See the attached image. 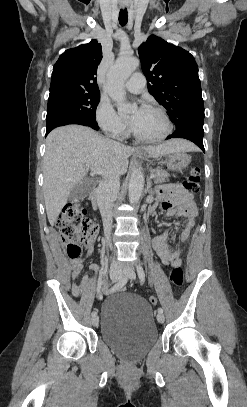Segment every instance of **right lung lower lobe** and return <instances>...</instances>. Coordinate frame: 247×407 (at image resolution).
<instances>
[{"instance_id": "98d812e1", "label": "right lung lower lobe", "mask_w": 247, "mask_h": 407, "mask_svg": "<svg viewBox=\"0 0 247 407\" xmlns=\"http://www.w3.org/2000/svg\"><path fill=\"white\" fill-rule=\"evenodd\" d=\"M67 124H80V125L89 126L95 130L99 129V127L97 126V123H91V122H87V121L80 120V119H61V120H57V121L53 122L50 125H47L46 136L54 128L63 126V125H67Z\"/></svg>"}]
</instances>
